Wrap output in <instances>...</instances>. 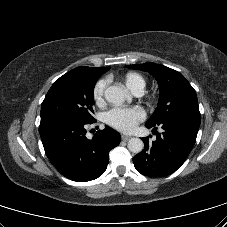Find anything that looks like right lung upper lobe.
<instances>
[{"label":"right lung upper lobe","instance_id":"right-lung-upper-lobe-1","mask_svg":"<svg viewBox=\"0 0 227 227\" xmlns=\"http://www.w3.org/2000/svg\"><path fill=\"white\" fill-rule=\"evenodd\" d=\"M110 69V67H105V68H99V67H96V68H92V67H77L73 70H88V71H91V72H96V73H99V74H103L105 73L106 71H108Z\"/></svg>","mask_w":227,"mask_h":227}]
</instances>
